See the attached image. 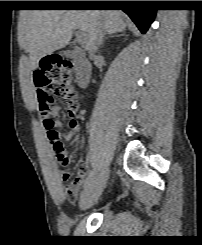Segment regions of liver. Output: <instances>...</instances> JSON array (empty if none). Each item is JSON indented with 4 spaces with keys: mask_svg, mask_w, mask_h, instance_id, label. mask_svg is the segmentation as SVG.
I'll return each mask as SVG.
<instances>
[{
    "mask_svg": "<svg viewBox=\"0 0 202 245\" xmlns=\"http://www.w3.org/2000/svg\"><path fill=\"white\" fill-rule=\"evenodd\" d=\"M100 26L113 34L125 30L126 23L117 10H35L20 45L29 53L31 68L35 69L42 57L65 47L76 29L85 33V50H90Z\"/></svg>",
    "mask_w": 202,
    "mask_h": 245,
    "instance_id": "obj_1",
    "label": "liver"
}]
</instances>
